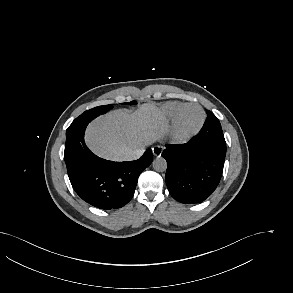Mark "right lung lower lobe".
I'll list each match as a JSON object with an SVG mask.
<instances>
[{
    "label": "right lung lower lobe",
    "mask_w": 293,
    "mask_h": 293,
    "mask_svg": "<svg viewBox=\"0 0 293 293\" xmlns=\"http://www.w3.org/2000/svg\"><path fill=\"white\" fill-rule=\"evenodd\" d=\"M88 123L71 124L66 131L64 159L72 187L84 201L97 208L123 207L131 200L140 173L152 163V150H146L135 161L101 159L85 145Z\"/></svg>",
    "instance_id": "1"
}]
</instances>
